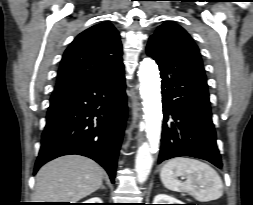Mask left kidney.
Wrapping results in <instances>:
<instances>
[{
  "label": "left kidney",
  "mask_w": 253,
  "mask_h": 205,
  "mask_svg": "<svg viewBox=\"0 0 253 205\" xmlns=\"http://www.w3.org/2000/svg\"><path fill=\"white\" fill-rule=\"evenodd\" d=\"M153 204H184V203L166 194H159L155 196Z\"/></svg>",
  "instance_id": "1"
}]
</instances>
